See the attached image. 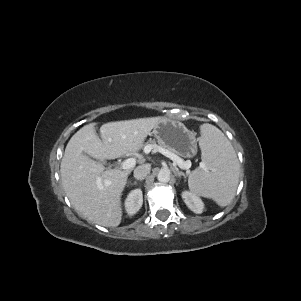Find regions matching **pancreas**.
Returning <instances> with one entry per match:
<instances>
[{"instance_id": "1", "label": "pancreas", "mask_w": 301, "mask_h": 301, "mask_svg": "<svg viewBox=\"0 0 301 301\" xmlns=\"http://www.w3.org/2000/svg\"><path fill=\"white\" fill-rule=\"evenodd\" d=\"M149 145H151V146L162 147V148H164V149L170 151L171 153L175 154L174 152H172L171 150L167 149L166 147H164V146H162V145H157V144L155 143V141H153V140H150V141H148V142L146 143V146H149Z\"/></svg>"}]
</instances>
